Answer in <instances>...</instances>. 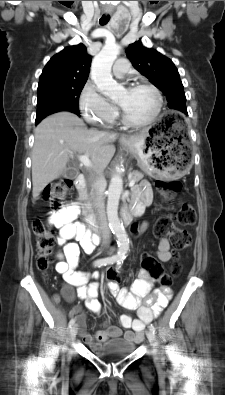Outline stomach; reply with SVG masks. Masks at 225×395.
I'll list each match as a JSON object with an SVG mask.
<instances>
[{"label":"stomach","instance_id":"stomach-1","mask_svg":"<svg viewBox=\"0 0 225 395\" xmlns=\"http://www.w3.org/2000/svg\"><path fill=\"white\" fill-rule=\"evenodd\" d=\"M160 122L128 136L122 140V144L136 157L139 167L150 176L180 178L189 167L184 155L187 142L179 134L166 131Z\"/></svg>","mask_w":225,"mask_h":395}]
</instances>
